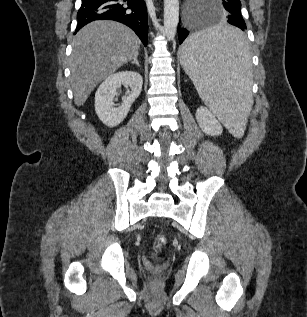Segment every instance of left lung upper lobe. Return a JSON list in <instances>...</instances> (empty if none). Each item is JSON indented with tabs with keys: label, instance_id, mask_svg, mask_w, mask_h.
Instances as JSON below:
<instances>
[{
	"label": "left lung upper lobe",
	"instance_id": "5c2ea615",
	"mask_svg": "<svg viewBox=\"0 0 307 317\" xmlns=\"http://www.w3.org/2000/svg\"><path fill=\"white\" fill-rule=\"evenodd\" d=\"M226 4L227 12L242 17L241 15V3L240 0H223Z\"/></svg>",
	"mask_w": 307,
	"mask_h": 317
}]
</instances>
